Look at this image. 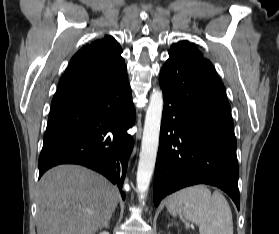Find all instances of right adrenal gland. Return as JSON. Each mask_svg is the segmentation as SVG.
<instances>
[{
    "label": "right adrenal gland",
    "mask_w": 279,
    "mask_h": 234,
    "mask_svg": "<svg viewBox=\"0 0 279 234\" xmlns=\"http://www.w3.org/2000/svg\"><path fill=\"white\" fill-rule=\"evenodd\" d=\"M109 221L110 219L105 223V227H109Z\"/></svg>",
    "instance_id": "right-adrenal-gland-1"
}]
</instances>
